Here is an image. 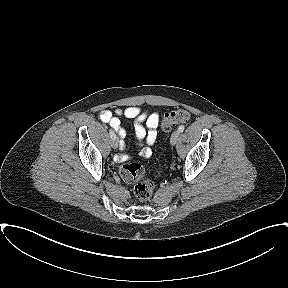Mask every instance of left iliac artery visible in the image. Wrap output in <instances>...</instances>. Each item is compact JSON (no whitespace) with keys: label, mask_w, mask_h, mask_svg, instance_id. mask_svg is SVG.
<instances>
[{"label":"left iliac artery","mask_w":288,"mask_h":288,"mask_svg":"<svg viewBox=\"0 0 288 288\" xmlns=\"http://www.w3.org/2000/svg\"><path fill=\"white\" fill-rule=\"evenodd\" d=\"M184 129H185V127H184L183 125H181V126L178 127V131H179V132H183Z\"/></svg>","instance_id":"44dca946"}]
</instances>
